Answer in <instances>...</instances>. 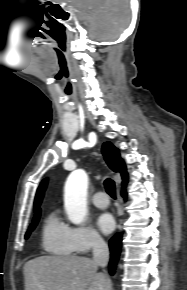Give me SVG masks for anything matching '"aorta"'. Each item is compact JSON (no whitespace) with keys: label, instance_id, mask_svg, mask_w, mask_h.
Instances as JSON below:
<instances>
[{"label":"aorta","instance_id":"obj_1","mask_svg":"<svg viewBox=\"0 0 187 290\" xmlns=\"http://www.w3.org/2000/svg\"><path fill=\"white\" fill-rule=\"evenodd\" d=\"M88 176L84 170L73 171L65 183L64 206L69 220L80 225L87 214Z\"/></svg>","mask_w":187,"mask_h":290}]
</instances>
